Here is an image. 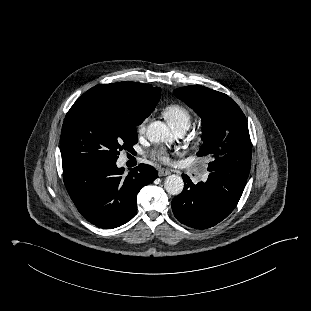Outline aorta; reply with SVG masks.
I'll return each mask as SVG.
<instances>
[{"instance_id":"aorta-1","label":"aorta","mask_w":311,"mask_h":311,"mask_svg":"<svg viewBox=\"0 0 311 311\" xmlns=\"http://www.w3.org/2000/svg\"><path fill=\"white\" fill-rule=\"evenodd\" d=\"M146 135L149 141L155 143L172 141L170 129L161 121L150 123ZM164 188L170 195H179L184 188L183 179L178 175H169L164 181Z\"/></svg>"}]
</instances>
